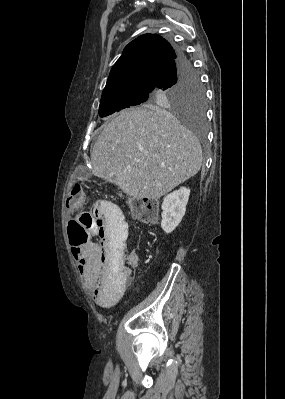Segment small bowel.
Returning a JSON list of instances; mask_svg holds the SVG:
<instances>
[{
    "mask_svg": "<svg viewBox=\"0 0 285 399\" xmlns=\"http://www.w3.org/2000/svg\"><path fill=\"white\" fill-rule=\"evenodd\" d=\"M91 222L87 232L99 235V242H89L76 247L78 267L82 278L93 290V300L99 307L107 308L123 294L125 280L119 275L120 260L111 262L113 245L121 253L128 238V224L123 215L107 200H96L90 210ZM129 265H137V255L131 256Z\"/></svg>",
    "mask_w": 285,
    "mask_h": 399,
    "instance_id": "1",
    "label": "small bowel"
}]
</instances>
